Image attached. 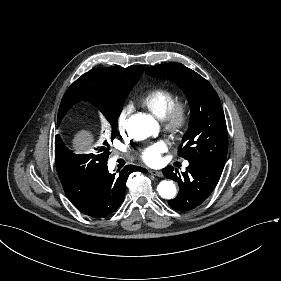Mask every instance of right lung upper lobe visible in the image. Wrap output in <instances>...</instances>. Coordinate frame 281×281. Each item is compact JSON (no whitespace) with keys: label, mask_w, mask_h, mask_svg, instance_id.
Masks as SVG:
<instances>
[{"label":"right lung upper lobe","mask_w":281,"mask_h":281,"mask_svg":"<svg viewBox=\"0 0 281 281\" xmlns=\"http://www.w3.org/2000/svg\"><path fill=\"white\" fill-rule=\"evenodd\" d=\"M144 68L142 65L96 68L83 74L64 94L59 107L58 123L66 111L80 100L89 101L97 107L123 105Z\"/></svg>","instance_id":"cb5924a9"}]
</instances>
